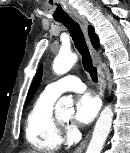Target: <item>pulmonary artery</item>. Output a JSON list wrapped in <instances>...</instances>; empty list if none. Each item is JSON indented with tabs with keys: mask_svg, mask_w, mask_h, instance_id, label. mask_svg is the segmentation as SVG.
Masks as SVG:
<instances>
[{
	"mask_svg": "<svg viewBox=\"0 0 130 153\" xmlns=\"http://www.w3.org/2000/svg\"><path fill=\"white\" fill-rule=\"evenodd\" d=\"M85 89V84L78 77L68 75L48 84L45 91L52 96L58 97L67 91L83 92Z\"/></svg>",
	"mask_w": 130,
	"mask_h": 153,
	"instance_id": "1",
	"label": "pulmonary artery"
}]
</instances>
